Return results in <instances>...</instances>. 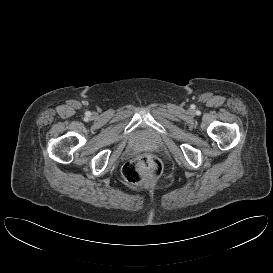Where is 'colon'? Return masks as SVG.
<instances>
[{
    "label": "colon",
    "instance_id": "5ec220e1",
    "mask_svg": "<svg viewBox=\"0 0 273 273\" xmlns=\"http://www.w3.org/2000/svg\"><path fill=\"white\" fill-rule=\"evenodd\" d=\"M160 161L151 155H142L125 164L122 170L124 179L131 184H140L145 179H154L161 173Z\"/></svg>",
    "mask_w": 273,
    "mask_h": 273
}]
</instances>
